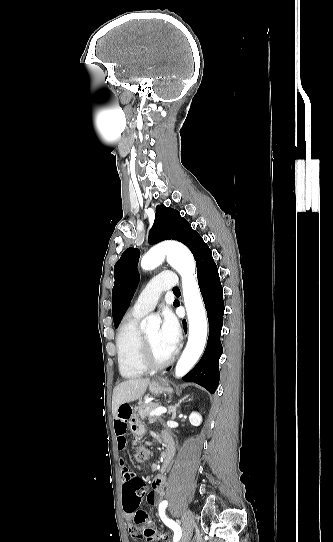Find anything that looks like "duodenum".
<instances>
[{
    "instance_id": "obj_1",
    "label": "duodenum",
    "mask_w": 333,
    "mask_h": 542,
    "mask_svg": "<svg viewBox=\"0 0 333 542\" xmlns=\"http://www.w3.org/2000/svg\"><path fill=\"white\" fill-rule=\"evenodd\" d=\"M163 442H164V446H165V451H164V460H163V464H162V467H161V471H164L166 469V467L168 466L173 454H174V444H173V439L171 437V435L169 434H164L163 435Z\"/></svg>"
}]
</instances>
